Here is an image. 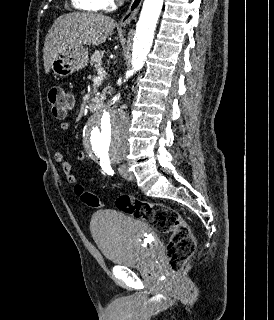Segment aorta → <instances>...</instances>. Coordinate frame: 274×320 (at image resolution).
<instances>
[{
	"label": "aorta",
	"mask_w": 274,
	"mask_h": 320,
	"mask_svg": "<svg viewBox=\"0 0 274 320\" xmlns=\"http://www.w3.org/2000/svg\"><path fill=\"white\" fill-rule=\"evenodd\" d=\"M162 5L163 0H144L134 36L131 74L140 70L146 61ZM117 99L119 97H113V103ZM128 126V117L120 108L112 107L94 117L84 131L89 157L96 160L123 158L128 149Z\"/></svg>",
	"instance_id": "762f6f07"
}]
</instances>
